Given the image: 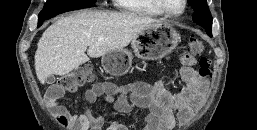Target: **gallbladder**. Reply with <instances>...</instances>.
I'll return each instance as SVG.
<instances>
[{"instance_id":"gallbladder-1","label":"gallbladder","mask_w":257,"mask_h":130,"mask_svg":"<svg viewBox=\"0 0 257 130\" xmlns=\"http://www.w3.org/2000/svg\"><path fill=\"white\" fill-rule=\"evenodd\" d=\"M55 82V77L53 75L49 76L47 79H46V83L47 84H53Z\"/></svg>"}]
</instances>
